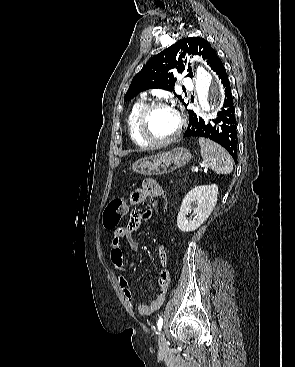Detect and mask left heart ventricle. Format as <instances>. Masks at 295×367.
I'll use <instances>...</instances> for the list:
<instances>
[{"label":"left heart ventricle","mask_w":295,"mask_h":367,"mask_svg":"<svg viewBox=\"0 0 295 367\" xmlns=\"http://www.w3.org/2000/svg\"><path fill=\"white\" fill-rule=\"evenodd\" d=\"M148 132L155 139H166L178 128V116L170 108L153 110L148 119Z\"/></svg>","instance_id":"1"}]
</instances>
